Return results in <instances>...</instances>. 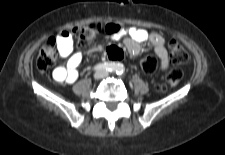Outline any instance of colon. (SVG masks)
Wrapping results in <instances>:
<instances>
[{
  "instance_id": "1",
  "label": "colon",
  "mask_w": 225,
  "mask_h": 155,
  "mask_svg": "<svg viewBox=\"0 0 225 155\" xmlns=\"http://www.w3.org/2000/svg\"><path fill=\"white\" fill-rule=\"evenodd\" d=\"M113 28L108 24L101 25L93 23L84 26L75 27L71 32H68L74 37L80 46H88L101 33L112 31ZM170 60L173 64L179 65L188 61L189 56L185 48L176 40L169 43ZM107 56L114 61H122L124 59V52L118 48L114 43H111L106 48ZM58 55V45L56 38H49L42 45L39 54L36 58V67L39 71H47L56 62ZM141 68L146 73H153L156 70V63L151 58H144L142 60ZM182 70L178 67L173 68L166 75L165 81L156 84L155 89L158 92H165L169 87L175 86L182 78Z\"/></svg>"
}]
</instances>
